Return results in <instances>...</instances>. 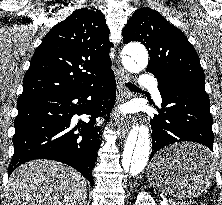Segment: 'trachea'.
Masks as SVG:
<instances>
[{"instance_id": "obj_1", "label": "trachea", "mask_w": 222, "mask_h": 205, "mask_svg": "<svg viewBox=\"0 0 222 205\" xmlns=\"http://www.w3.org/2000/svg\"><path fill=\"white\" fill-rule=\"evenodd\" d=\"M125 85L131 90H140L137 86L132 83H126Z\"/></svg>"}]
</instances>
